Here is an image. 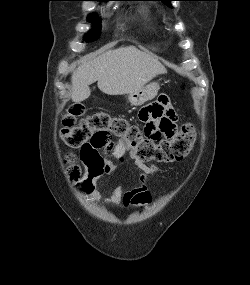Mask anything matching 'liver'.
I'll use <instances>...</instances> for the list:
<instances>
[{
	"label": "liver",
	"instance_id": "liver-1",
	"mask_svg": "<svg viewBox=\"0 0 250 285\" xmlns=\"http://www.w3.org/2000/svg\"><path fill=\"white\" fill-rule=\"evenodd\" d=\"M164 73L166 68L158 59L136 47L109 50L73 71L71 99L75 103L86 100L91 94L89 85L96 81L103 93L122 95L141 89Z\"/></svg>",
	"mask_w": 250,
	"mask_h": 285
}]
</instances>
